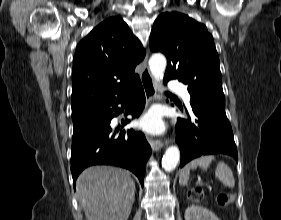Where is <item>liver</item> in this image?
<instances>
[{
    "label": "liver",
    "mask_w": 281,
    "mask_h": 220,
    "mask_svg": "<svg viewBox=\"0 0 281 220\" xmlns=\"http://www.w3.org/2000/svg\"><path fill=\"white\" fill-rule=\"evenodd\" d=\"M130 173L112 166L85 169L76 182V194L87 220H127L135 197Z\"/></svg>",
    "instance_id": "obj_1"
}]
</instances>
